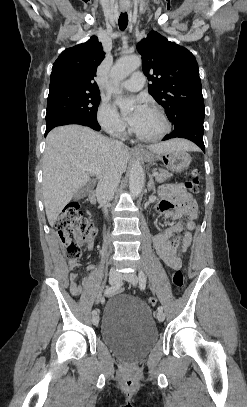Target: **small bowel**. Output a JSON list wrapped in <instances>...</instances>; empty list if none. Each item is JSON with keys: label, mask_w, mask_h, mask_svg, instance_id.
<instances>
[{"label": "small bowel", "mask_w": 247, "mask_h": 407, "mask_svg": "<svg viewBox=\"0 0 247 407\" xmlns=\"http://www.w3.org/2000/svg\"><path fill=\"white\" fill-rule=\"evenodd\" d=\"M162 200L155 207V212L162 214L165 219L186 220L177 223L167 231L154 236L152 243L163 263L173 269H181L183 266L182 254L188 249L192 241V230L195 228L197 219V206L194 199L186 193L179 184L165 185L160 190ZM87 247L91 251L94 247L92 239L87 241ZM80 262L75 259L68 261L70 291L73 295H80L90 280L85 278L81 285L75 283ZM96 266L91 264L86 270L93 271Z\"/></svg>", "instance_id": "small-bowel-1"}]
</instances>
